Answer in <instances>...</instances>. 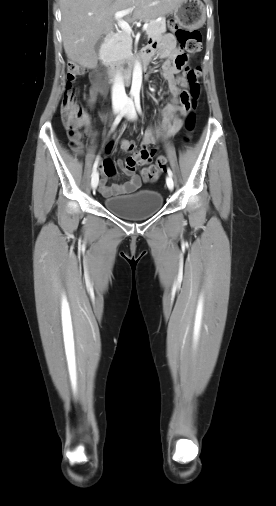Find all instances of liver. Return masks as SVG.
Wrapping results in <instances>:
<instances>
[{
    "mask_svg": "<svg viewBox=\"0 0 276 506\" xmlns=\"http://www.w3.org/2000/svg\"><path fill=\"white\" fill-rule=\"evenodd\" d=\"M183 0H60L62 39L67 57L78 64L97 65L95 45L113 29L116 12L134 8L126 20L154 19L172 13ZM132 15V16H131Z\"/></svg>",
    "mask_w": 276,
    "mask_h": 506,
    "instance_id": "1",
    "label": "liver"
}]
</instances>
